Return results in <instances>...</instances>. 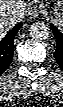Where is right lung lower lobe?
Wrapping results in <instances>:
<instances>
[{"label":"right lung lower lobe","mask_w":63,"mask_h":107,"mask_svg":"<svg viewBox=\"0 0 63 107\" xmlns=\"http://www.w3.org/2000/svg\"><path fill=\"white\" fill-rule=\"evenodd\" d=\"M21 27L22 23H19L0 41V75L12 61L14 38Z\"/></svg>","instance_id":"obj_1"}]
</instances>
